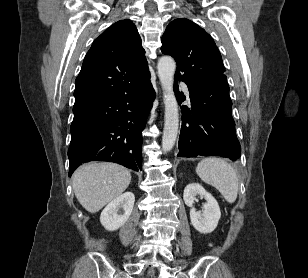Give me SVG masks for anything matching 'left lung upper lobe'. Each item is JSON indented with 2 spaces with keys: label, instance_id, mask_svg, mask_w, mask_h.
Listing matches in <instances>:
<instances>
[{
  "label": "left lung upper lobe",
  "instance_id": "obj_1",
  "mask_svg": "<svg viewBox=\"0 0 308 278\" xmlns=\"http://www.w3.org/2000/svg\"><path fill=\"white\" fill-rule=\"evenodd\" d=\"M161 51L177 62L175 78L194 85L221 75L225 67L212 37L194 22L175 19L162 36Z\"/></svg>",
  "mask_w": 308,
  "mask_h": 278
}]
</instances>
